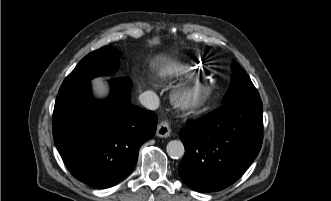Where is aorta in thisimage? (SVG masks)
I'll use <instances>...</instances> for the list:
<instances>
[{
  "label": "aorta",
  "mask_w": 331,
  "mask_h": 201,
  "mask_svg": "<svg viewBox=\"0 0 331 201\" xmlns=\"http://www.w3.org/2000/svg\"><path fill=\"white\" fill-rule=\"evenodd\" d=\"M184 152V145L179 140H172L167 144V153L171 158H181L184 155Z\"/></svg>",
  "instance_id": "aorta-1"
}]
</instances>
